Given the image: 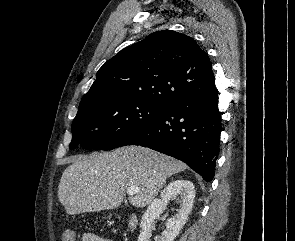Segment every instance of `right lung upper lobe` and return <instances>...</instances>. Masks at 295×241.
Here are the masks:
<instances>
[{
	"label": "right lung upper lobe",
	"mask_w": 295,
	"mask_h": 241,
	"mask_svg": "<svg viewBox=\"0 0 295 241\" xmlns=\"http://www.w3.org/2000/svg\"><path fill=\"white\" fill-rule=\"evenodd\" d=\"M207 53L184 34L162 30L121 50L97 72L83 96L113 91L164 107L173 99L215 84Z\"/></svg>",
	"instance_id": "right-lung-upper-lobe-1"
}]
</instances>
